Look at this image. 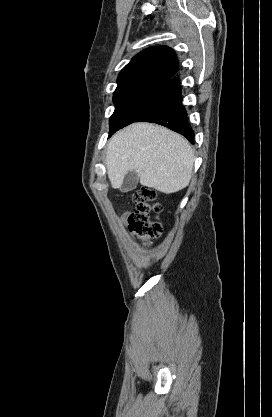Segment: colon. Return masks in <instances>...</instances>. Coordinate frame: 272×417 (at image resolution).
<instances>
[{
    "label": "colon",
    "instance_id": "5ec220e1",
    "mask_svg": "<svg viewBox=\"0 0 272 417\" xmlns=\"http://www.w3.org/2000/svg\"><path fill=\"white\" fill-rule=\"evenodd\" d=\"M132 198L136 208L128 219L130 230L144 240L157 238L162 232V226L151 216V213L158 214L161 211L160 204L153 203L156 192L152 188L142 187L133 193Z\"/></svg>",
    "mask_w": 272,
    "mask_h": 417
}]
</instances>
